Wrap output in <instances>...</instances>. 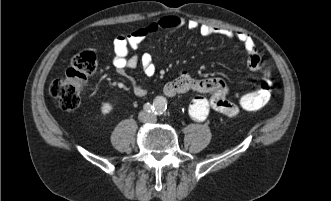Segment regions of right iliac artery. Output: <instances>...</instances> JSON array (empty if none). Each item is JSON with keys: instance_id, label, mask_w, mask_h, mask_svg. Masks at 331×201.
Here are the masks:
<instances>
[{"instance_id": "82829eb1", "label": "right iliac artery", "mask_w": 331, "mask_h": 201, "mask_svg": "<svg viewBox=\"0 0 331 201\" xmlns=\"http://www.w3.org/2000/svg\"><path fill=\"white\" fill-rule=\"evenodd\" d=\"M144 110L150 113V112H154L155 108L150 103H146L144 105Z\"/></svg>"}]
</instances>
